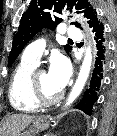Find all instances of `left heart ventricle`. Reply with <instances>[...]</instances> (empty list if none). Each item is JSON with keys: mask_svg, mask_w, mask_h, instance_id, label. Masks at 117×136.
<instances>
[{"mask_svg": "<svg viewBox=\"0 0 117 136\" xmlns=\"http://www.w3.org/2000/svg\"><path fill=\"white\" fill-rule=\"evenodd\" d=\"M38 85L41 89L43 96L46 98H53L61 92V90L52 83L48 76V73L46 72L39 74Z\"/></svg>", "mask_w": 117, "mask_h": 136, "instance_id": "obj_1", "label": "left heart ventricle"}]
</instances>
